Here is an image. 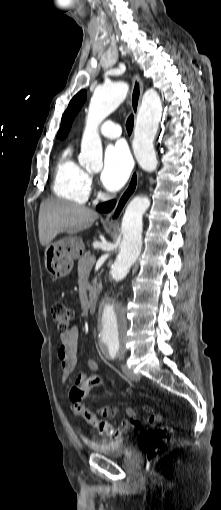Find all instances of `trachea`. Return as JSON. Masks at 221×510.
Wrapping results in <instances>:
<instances>
[{"mask_svg": "<svg viewBox=\"0 0 221 510\" xmlns=\"http://www.w3.org/2000/svg\"><path fill=\"white\" fill-rule=\"evenodd\" d=\"M133 125H134V119H133V115H131V116H129V118L127 119V122H126V129L129 134L132 133Z\"/></svg>", "mask_w": 221, "mask_h": 510, "instance_id": "trachea-1", "label": "trachea"}]
</instances>
